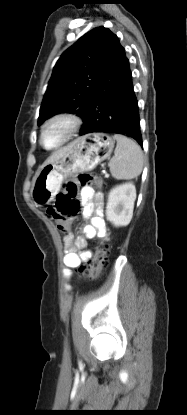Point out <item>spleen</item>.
Masks as SVG:
<instances>
[{
    "instance_id": "1",
    "label": "spleen",
    "mask_w": 187,
    "mask_h": 415,
    "mask_svg": "<svg viewBox=\"0 0 187 415\" xmlns=\"http://www.w3.org/2000/svg\"><path fill=\"white\" fill-rule=\"evenodd\" d=\"M117 145L109 162L110 172L115 179L137 178L143 169V153L132 139L115 134Z\"/></svg>"
}]
</instances>
